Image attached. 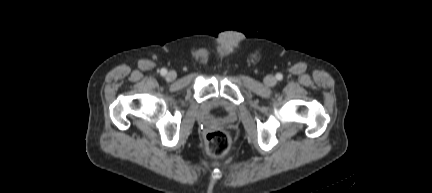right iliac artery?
I'll return each instance as SVG.
<instances>
[{
    "label": "right iliac artery",
    "mask_w": 432,
    "mask_h": 193,
    "mask_svg": "<svg viewBox=\"0 0 432 193\" xmlns=\"http://www.w3.org/2000/svg\"><path fill=\"white\" fill-rule=\"evenodd\" d=\"M161 75L164 76L167 74V70L165 68H162L160 71Z\"/></svg>",
    "instance_id": "right-iliac-artery-1"
}]
</instances>
